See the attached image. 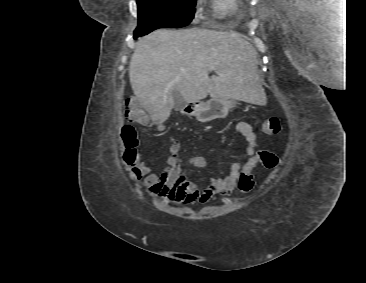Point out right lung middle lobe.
I'll return each mask as SVG.
<instances>
[{"instance_id":"right-lung-middle-lobe-1","label":"right lung middle lobe","mask_w":366,"mask_h":283,"mask_svg":"<svg viewBox=\"0 0 366 283\" xmlns=\"http://www.w3.org/2000/svg\"><path fill=\"white\" fill-rule=\"evenodd\" d=\"M196 0H137L138 27L143 36L158 28L184 27L194 18Z\"/></svg>"}]
</instances>
